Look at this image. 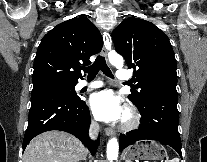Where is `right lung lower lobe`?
<instances>
[{"mask_svg":"<svg viewBox=\"0 0 207 162\" xmlns=\"http://www.w3.org/2000/svg\"><path fill=\"white\" fill-rule=\"evenodd\" d=\"M89 109L85 101L72 99L59 92L31 95L28 127L23 140V150L35 136L50 130H61L79 138L95 154L99 141L88 137Z\"/></svg>","mask_w":207,"mask_h":162,"instance_id":"98d812e1","label":"right lung lower lobe"}]
</instances>
